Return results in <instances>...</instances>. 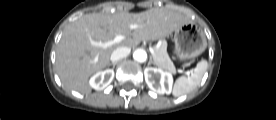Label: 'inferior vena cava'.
Listing matches in <instances>:
<instances>
[{"instance_id":"602c4592","label":"inferior vena cava","mask_w":276,"mask_h":120,"mask_svg":"<svg viewBox=\"0 0 276 120\" xmlns=\"http://www.w3.org/2000/svg\"><path fill=\"white\" fill-rule=\"evenodd\" d=\"M131 49L129 47H118L111 54V61L117 62L118 60L127 57L130 54Z\"/></svg>"}]
</instances>
